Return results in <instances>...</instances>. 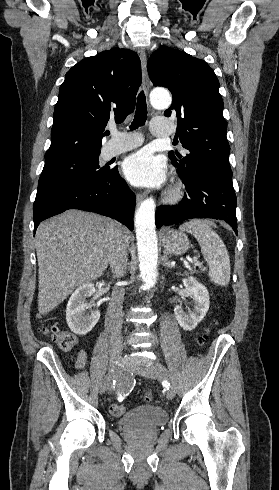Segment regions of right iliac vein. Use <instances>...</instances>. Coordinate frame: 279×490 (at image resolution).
<instances>
[{
  "label": "right iliac vein",
  "instance_id": "obj_1",
  "mask_svg": "<svg viewBox=\"0 0 279 490\" xmlns=\"http://www.w3.org/2000/svg\"><path fill=\"white\" fill-rule=\"evenodd\" d=\"M119 364H118V359L116 357L115 352H113L112 356L110 357V363H109V375L104 378L103 383H101V388H100V393H104L105 390L111 388V383L113 381L114 375L116 374L118 370Z\"/></svg>",
  "mask_w": 279,
  "mask_h": 490
}]
</instances>
